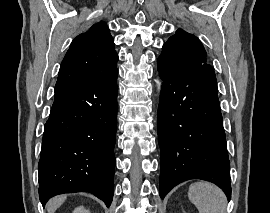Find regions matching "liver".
Here are the masks:
<instances>
[{
	"label": "liver",
	"instance_id": "1",
	"mask_svg": "<svg viewBox=\"0 0 270 213\" xmlns=\"http://www.w3.org/2000/svg\"><path fill=\"white\" fill-rule=\"evenodd\" d=\"M66 196H59L50 200L47 204L48 213H54L58 207L65 201Z\"/></svg>",
	"mask_w": 270,
	"mask_h": 213
}]
</instances>
